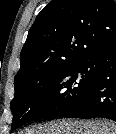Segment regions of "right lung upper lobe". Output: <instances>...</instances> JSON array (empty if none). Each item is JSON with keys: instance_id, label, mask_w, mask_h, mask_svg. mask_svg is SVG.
<instances>
[{"instance_id": "cb5924a9", "label": "right lung upper lobe", "mask_w": 116, "mask_h": 134, "mask_svg": "<svg viewBox=\"0 0 116 134\" xmlns=\"http://www.w3.org/2000/svg\"><path fill=\"white\" fill-rule=\"evenodd\" d=\"M116 48L113 0H52L36 17L20 54L15 94L79 62Z\"/></svg>"}]
</instances>
